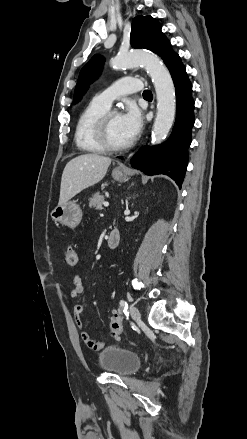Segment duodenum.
I'll return each mask as SVG.
<instances>
[{
  "instance_id": "1",
  "label": "duodenum",
  "mask_w": 247,
  "mask_h": 439,
  "mask_svg": "<svg viewBox=\"0 0 247 439\" xmlns=\"http://www.w3.org/2000/svg\"><path fill=\"white\" fill-rule=\"evenodd\" d=\"M121 241V234L117 228H112L108 234L107 245L111 249H115L119 246Z\"/></svg>"
}]
</instances>
